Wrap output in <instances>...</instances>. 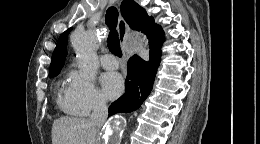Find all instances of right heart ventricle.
Returning a JSON list of instances; mask_svg holds the SVG:
<instances>
[{
    "label": "right heart ventricle",
    "instance_id": "e07e8e85",
    "mask_svg": "<svg viewBox=\"0 0 260 144\" xmlns=\"http://www.w3.org/2000/svg\"><path fill=\"white\" fill-rule=\"evenodd\" d=\"M58 103L60 107L70 115H77L73 107L71 106L68 96H67V89L62 90L61 95L59 96Z\"/></svg>",
    "mask_w": 260,
    "mask_h": 144
}]
</instances>
